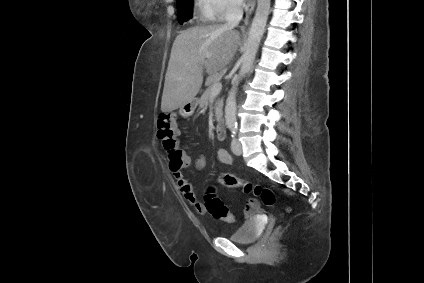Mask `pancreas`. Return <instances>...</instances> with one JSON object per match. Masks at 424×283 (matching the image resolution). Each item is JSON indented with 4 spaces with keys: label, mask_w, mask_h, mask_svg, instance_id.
<instances>
[{
    "label": "pancreas",
    "mask_w": 424,
    "mask_h": 283,
    "mask_svg": "<svg viewBox=\"0 0 424 283\" xmlns=\"http://www.w3.org/2000/svg\"><path fill=\"white\" fill-rule=\"evenodd\" d=\"M218 80H219V74L211 75L207 78L206 85L208 87L206 91L204 92V94L202 95L199 102L201 107H204L205 105L208 104L209 101L213 99V96L211 95V85ZM222 108H223V99L222 98L217 99L215 101V115L217 120L220 119Z\"/></svg>",
    "instance_id": "cf45deb5"
}]
</instances>
